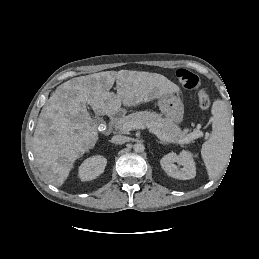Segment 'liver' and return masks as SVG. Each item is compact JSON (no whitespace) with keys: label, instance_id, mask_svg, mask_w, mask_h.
Returning a JSON list of instances; mask_svg holds the SVG:
<instances>
[{"label":"liver","instance_id":"liver-1","mask_svg":"<svg viewBox=\"0 0 259 259\" xmlns=\"http://www.w3.org/2000/svg\"><path fill=\"white\" fill-rule=\"evenodd\" d=\"M115 80L117 94L110 92ZM178 91L165 76L145 71H105L64 82L42 108L35 128L33 152L39 171L59 187L75 160L95 146L98 125L87 105L97 116L111 115L122 104L133 107Z\"/></svg>","mask_w":259,"mask_h":259}]
</instances>
